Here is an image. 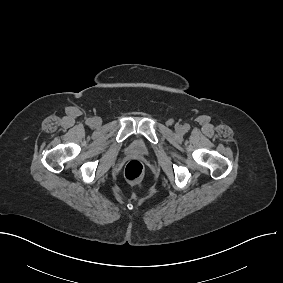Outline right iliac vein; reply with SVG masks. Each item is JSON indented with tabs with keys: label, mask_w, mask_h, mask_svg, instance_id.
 Masks as SVG:
<instances>
[{
	"label": "right iliac vein",
	"mask_w": 283,
	"mask_h": 283,
	"mask_svg": "<svg viewBox=\"0 0 283 283\" xmlns=\"http://www.w3.org/2000/svg\"><path fill=\"white\" fill-rule=\"evenodd\" d=\"M93 124H94L95 126H99V125L101 124V120H100L99 118H94V119H93Z\"/></svg>",
	"instance_id": "obj_1"
}]
</instances>
